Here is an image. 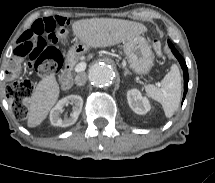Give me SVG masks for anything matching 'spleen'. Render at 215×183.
<instances>
[{
	"label": "spleen",
	"instance_id": "1",
	"mask_svg": "<svg viewBox=\"0 0 215 183\" xmlns=\"http://www.w3.org/2000/svg\"><path fill=\"white\" fill-rule=\"evenodd\" d=\"M181 75L176 64L171 66L158 85H146L145 91L149 97L159 102L165 112V116H173L180 104L181 99Z\"/></svg>",
	"mask_w": 215,
	"mask_h": 183
}]
</instances>
